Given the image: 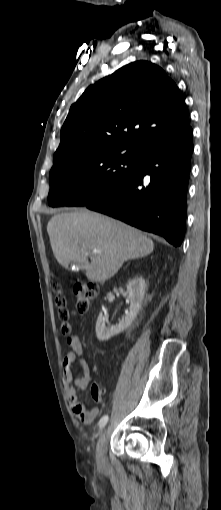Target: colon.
Masks as SVG:
<instances>
[{
	"label": "colon",
	"mask_w": 221,
	"mask_h": 510,
	"mask_svg": "<svg viewBox=\"0 0 221 510\" xmlns=\"http://www.w3.org/2000/svg\"><path fill=\"white\" fill-rule=\"evenodd\" d=\"M97 293L98 287L95 283L84 280L78 281L74 287L75 311L79 314H85L89 310L92 301L97 296ZM56 304L58 307L59 318L62 321V331L64 334H69L71 329L69 320L74 314V311L69 308L67 299L62 295H59L56 298ZM91 396L96 403H100L102 401V394L95 383L91 385Z\"/></svg>",
	"instance_id": "1"
}]
</instances>
